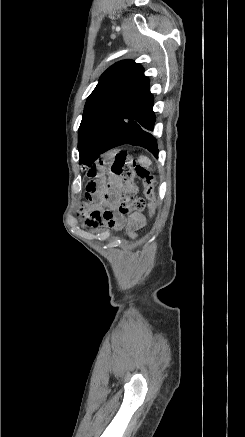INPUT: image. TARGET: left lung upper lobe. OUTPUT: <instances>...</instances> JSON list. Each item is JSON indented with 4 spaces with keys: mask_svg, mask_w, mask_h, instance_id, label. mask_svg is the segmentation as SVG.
Returning a JSON list of instances; mask_svg holds the SVG:
<instances>
[{
    "mask_svg": "<svg viewBox=\"0 0 245 437\" xmlns=\"http://www.w3.org/2000/svg\"><path fill=\"white\" fill-rule=\"evenodd\" d=\"M140 64L123 60L109 67L88 97L78 131L80 164L92 166L115 122L146 84Z\"/></svg>",
    "mask_w": 245,
    "mask_h": 437,
    "instance_id": "5c2ea615",
    "label": "left lung upper lobe"
}]
</instances>
